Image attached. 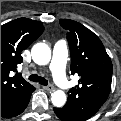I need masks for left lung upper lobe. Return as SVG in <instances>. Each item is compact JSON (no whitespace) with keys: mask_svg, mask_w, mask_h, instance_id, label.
I'll return each mask as SVG.
<instances>
[{"mask_svg":"<svg viewBox=\"0 0 121 121\" xmlns=\"http://www.w3.org/2000/svg\"><path fill=\"white\" fill-rule=\"evenodd\" d=\"M60 24L69 30L71 72L77 74L79 84L68 91L63 109L73 118L85 121L104 104L111 89L112 63L102 42L82 24L61 19Z\"/></svg>","mask_w":121,"mask_h":121,"instance_id":"5c2ea615","label":"left lung upper lobe"}]
</instances>
